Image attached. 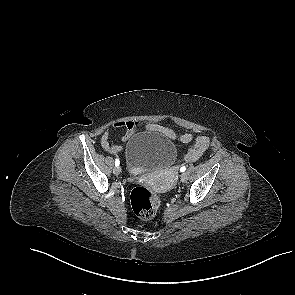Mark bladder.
<instances>
[{"label":"bladder","mask_w":295,"mask_h":295,"mask_svg":"<svg viewBox=\"0 0 295 295\" xmlns=\"http://www.w3.org/2000/svg\"><path fill=\"white\" fill-rule=\"evenodd\" d=\"M124 158L130 172H145L172 166L177 159L174 143L156 131L141 132L126 144Z\"/></svg>","instance_id":"31cf9c89"}]
</instances>
